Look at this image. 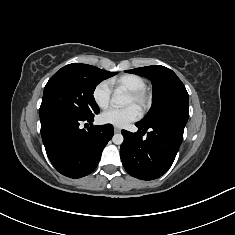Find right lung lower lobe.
Listing matches in <instances>:
<instances>
[{"mask_svg":"<svg viewBox=\"0 0 235 235\" xmlns=\"http://www.w3.org/2000/svg\"><path fill=\"white\" fill-rule=\"evenodd\" d=\"M93 117H40L41 136L47 156L64 176L81 178L92 173L99 163L103 148L113 136V126L110 124L81 129L80 124H92Z\"/></svg>","mask_w":235,"mask_h":235,"instance_id":"98d812e1","label":"right lung lower lobe"}]
</instances>
